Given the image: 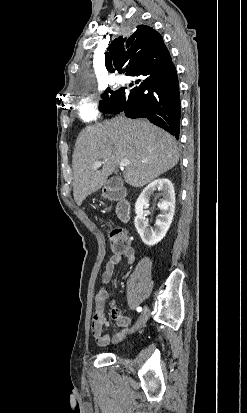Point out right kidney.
<instances>
[{
    "instance_id": "1",
    "label": "right kidney",
    "mask_w": 247,
    "mask_h": 413,
    "mask_svg": "<svg viewBox=\"0 0 247 413\" xmlns=\"http://www.w3.org/2000/svg\"><path fill=\"white\" fill-rule=\"evenodd\" d=\"M155 190H162V198L157 202L161 215H158L159 219H157L154 227H150L143 209H146ZM135 213L134 225L143 243L153 247V245H157L159 241H162L173 221L175 213V190L171 180L169 178H156L148 186H145L135 202Z\"/></svg>"
}]
</instances>
